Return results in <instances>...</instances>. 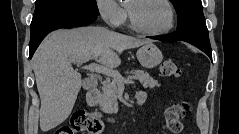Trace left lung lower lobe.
Instances as JSON below:
<instances>
[{"instance_id": "obj_1", "label": "left lung lower lobe", "mask_w": 239, "mask_h": 134, "mask_svg": "<svg viewBox=\"0 0 239 134\" xmlns=\"http://www.w3.org/2000/svg\"><path fill=\"white\" fill-rule=\"evenodd\" d=\"M150 38L161 41H185L191 43L205 52L212 59L208 30L187 29Z\"/></svg>"}]
</instances>
